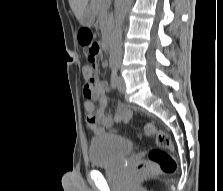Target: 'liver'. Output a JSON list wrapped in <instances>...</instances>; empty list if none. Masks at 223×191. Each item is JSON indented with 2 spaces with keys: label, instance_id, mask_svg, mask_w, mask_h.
<instances>
[{
  "label": "liver",
  "instance_id": "1",
  "mask_svg": "<svg viewBox=\"0 0 223 191\" xmlns=\"http://www.w3.org/2000/svg\"><path fill=\"white\" fill-rule=\"evenodd\" d=\"M89 0H69L70 7L80 21L83 12L87 9Z\"/></svg>",
  "mask_w": 223,
  "mask_h": 191
}]
</instances>
